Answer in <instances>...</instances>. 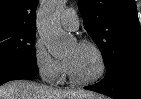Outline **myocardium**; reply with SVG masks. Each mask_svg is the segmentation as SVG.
<instances>
[{"label":"myocardium","mask_w":141,"mask_h":99,"mask_svg":"<svg viewBox=\"0 0 141 99\" xmlns=\"http://www.w3.org/2000/svg\"><path fill=\"white\" fill-rule=\"evenodd\" d=\"M77 45L90 47L96 52L98 59H99V62H100V70H99L98 74L96 76H94L93 78L80 79L74 74L69 62L65 60L67 74H68L70 80L74 84L83 85V86L95 84L98 81H100L106 73L107 63H106L105 55H104L103 51L101 50V48L96 43H94L92 41L81 40L80 42H78Z\"/></svg>","instance_id":"1"}]
</instances>
